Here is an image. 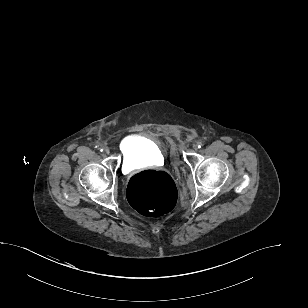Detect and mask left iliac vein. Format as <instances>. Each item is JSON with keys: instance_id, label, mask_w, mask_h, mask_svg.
<instances>
[{"instance_id": "left-iliac-vein-1", "label": "left iliac vein", "mask_w": 308, "mask_h": 308, "mask_svg": "<svg viewBox=\"0 0 308 308\" xmlns=\"http://www.w3.org/2000/svg\"><path fill=\"white\" fill-rule=\"evenodd\" d=\"M193 148H194L195 150H197V149H198V147H197V143H194V144H193Z\"/></svg>"}]
</instances>
